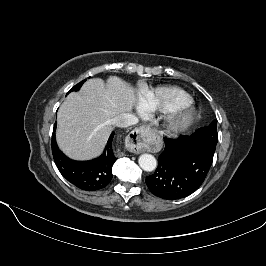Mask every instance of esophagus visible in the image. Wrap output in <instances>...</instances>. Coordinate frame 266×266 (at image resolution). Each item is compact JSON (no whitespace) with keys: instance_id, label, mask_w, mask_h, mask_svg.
<instances>
[{"instance_id":"obj_1","label":"esophagus","mask_w":266,"mask_h":266,"mask_svg":"<svg viewBox=\"0 0 266 266\" xmlns=\"http://www.w3.org/2000/svg\"><path fill=\"white\" fill-rule=\"evenodd\" d=\"M149 135V129L146 126L133 130L125 140V146L128 151L134 154H140L144 151V141Z\"/></svg>"}]
</instances>
